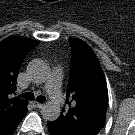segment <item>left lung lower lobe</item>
I'll return each instance as SVG.
<instances>
[{"mask_svg": "<svg viewBox=\"0 0 135 135\" xmlns=\"http://www.w3.org/2000/svg\"><path fill=\"white\" fill-rule=\"evenodd\" d=\"M50 135H74L64 128L59 127L54 121L48 122Z\"/></svg>", "mask_w": 135, "mask_h": 135, "instance_id": "1", "label": "left lung lower lobe"}]
</instances>
